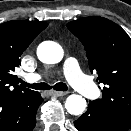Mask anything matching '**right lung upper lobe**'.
<instances>
[{"label": "right lung upper lobe", "instance_id": "cb5924a9", "mask_svg": "<svg viewBox=\"0 0 131 131\" xmlns=\"http://www.w3.org/2000/svg\"><path fill=\"white\" fill-rule=\"evenodd\" d=\"M48 26L45 22L14 20L0 24V97L34 93L18 85L13 74L21 64L19 57L35 37Z\"/></svg>", "mask_w": 131, "mask_h": 131}]
</instances>
